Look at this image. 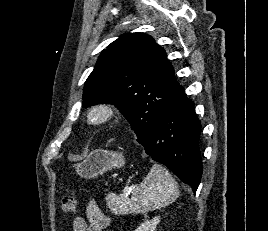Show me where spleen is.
I'll return each instance as SVG.
<instances>
[{
    "mask_svg": "<svg viewBox=\"0 0 268 231\" xmlns=\"http://www.w3.org/2000/svg\"><path fill=\"white\" fill-rule=\"evenodd\" d=\"M179 193L175 179L164 167L155 163L143 181L133 187L131 198L110 193L105 199L115 214H138L171 204Z\"/></svg>",
    "mask_w": 268,
    "mask_h": 231,
    "instance_id": "1",
    "label": "spleen"
}]
</instances>
